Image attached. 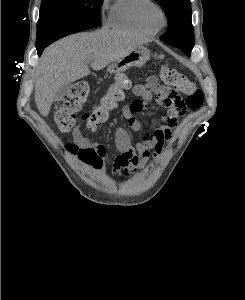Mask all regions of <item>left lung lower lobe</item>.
I'll return each instance as SVG.
<instances>
[{
  "mask_svg": "<svg viewBox=\"0 0 245 300\" xmlns=\"http://www.w3.org/2000/svg\"><path fill=\"white\" fill-rule=\"evenodd\" d=\"M175 47L180 48L182 51H184V53H185L187 56H190V51H187L186 46H184L183 44H182V45L175 46Z\"/></svg>",
  "mask_w": 245,
  "mask_h": 300,
  "instance_id": "0a47b994",
  "label": "left lung lower lobe"
}]
</instances>
